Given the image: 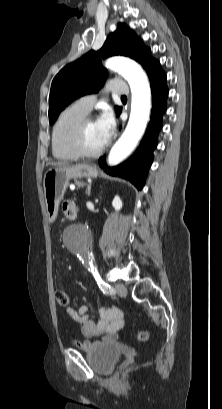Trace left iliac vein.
Listing matches in <instances>:
<instances>
[{"mask_svg":"<svg viewBox=\"0 0 222 409\" xmlns=\"http://www.w3.org/2000/svg\"><path fill=\"white\" fill-rule=\"evenodd\" d=\"M117 294L121 297H125L127 295V288L124 284L118 283L115 285Z\"/></svg>","mask_w":222,"mask_h":409,"instance_id":"obj_1","label":"left iliac vein"}]
</instances>
